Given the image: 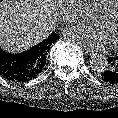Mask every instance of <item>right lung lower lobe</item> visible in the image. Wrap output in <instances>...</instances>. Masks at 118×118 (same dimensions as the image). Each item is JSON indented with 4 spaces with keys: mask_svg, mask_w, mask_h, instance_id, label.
I'll return each mask as SVG.
<instances>
[{
    "mask_svg": "<svg viewBox=\"0 0 118 118\" xmlns=\"http://www.w3.org/2000/svg\"><path fill=\"white\" fill-rule=\"evenodd\" d=\"M36 66V56L30 49L20 54H10L0 49V75L10 81L31 80L43 70H38Z\"/></svg>",
    "mask_w": 118,
    "mask_h": 118,
    "instance_id": "98d812e1",
    "label": "right lung lower lobe"
}]
</instances>
